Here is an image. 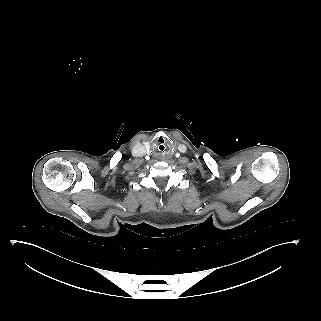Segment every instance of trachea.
<instances>
[{
    "label": "trachea",
    "instance_id": "obj_1",
    "mask_svg": "<svg viewBox=\"0 0 321 321\" xmlns=\"http://www.w3.org/2000/svg\"><path fill=\"white\" fill-rule=\"evenodd\" d=\"M154 153L156 156L161 157L165 153V145L164 144H159L158 146L155 147Z\"/></svg>",
    "mask_w": 321,
    "mask_h": 321
}]
</instances>
